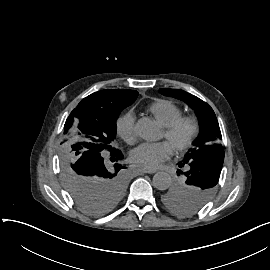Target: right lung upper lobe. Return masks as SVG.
<instances>
[{
  "mask_svg": "<svg viewBox=\"0 0 270 270\" xmlns=\"http://www.w3.org/2000/svg\"><path fill=\"white\" fill-rule=\"evenodd\" d=\"M126 91H129V90L105 89L102 91H98V95L102 101H113L118 98H121Z\"/></svg>",
  "mask_w": 270,
  "mask_h": 270,
  "instance_id": "cb5924a9",
  "label": "right lung upper lobe"
}]
</instances>
